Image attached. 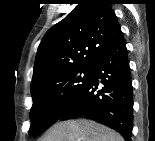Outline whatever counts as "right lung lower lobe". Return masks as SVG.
Wrapping results in <instances>:
<instances>
[{"mask_svg": "<svg viewBox=\"0 0 155 141\" xmlns=\"http://www.w3.org/2000/svg\"><path fill=\"white\" fill-rule=\"evenodd\" d=\"M97 75V76H96ZM102 87H99L98 78ZM133 87L126 43L120 33L101 54L91 78L60 120L85 116L118 131L130 141L133 128Z\"/></svg>", "mask_w": 155, "mask_h": 141, "instance_id": "right-lung-lower-lobe-1", "label": "right lung lower lobe"}]
</instances>
